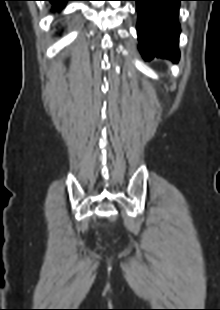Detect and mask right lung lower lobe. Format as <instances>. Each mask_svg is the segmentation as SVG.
I'll use <instances>...</instances> for the list:
<instances>
[{
    "instance_id": "1",
    "label": "right lung lower lobe",
    "mask_w": 220,
    "mask_h": 310,
    "mask_svg": "<svg viewBox=\"0 0 220 310\" xmlns=\"http://www.w3.org/2000/svg\"><path fill=\"white\" fill-rule=\"evenodd\" d=\"M52 3V12L60 11L62 8L65 7L67 1H73V0H45Z\"/></svg>"
}]
</instances>
